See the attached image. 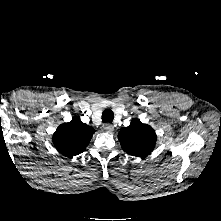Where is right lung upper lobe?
Masks as SVG:
<instances>
[{
    "label": "right lung upper lobe",
    "mask_w": 221,
    "mask_h": 221,
    "mask_svg": "<svg viewBox=\"0 0 221 221\" xmlns=\"http://www.w3.org/2000/svg\"><path fill=\"white\" fill-rule=\"evenodd\" d=\"M95 130L79 117H73L68 123L61 124L53 136L54 146L66 156L82 153L89 144Z\"/></svg>",
    "instance_id": "1"
}]
</instances>
